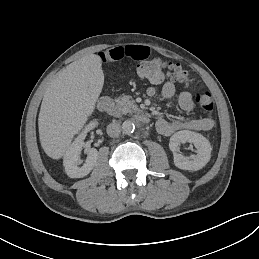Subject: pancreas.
I'll use <instances>...</instances> for the list:
<instances>
[{"label": "pancreas", "mask_w": 259, "mask_h": 259, "mask_svg": "<svg viewBox=\"0 0 259 259\" xmlns=\"http://www.w3.org/2000/svg\"><path fill=\"white\" fill-rule=\"evenodd\" d=\"M130 98V96L125 95L117 99V102L121 106V111L123 114L134 113L139 111V108L136 105H134V101L130 100Z\"/></svg>", "instance_id": "1"}]
</instances>
